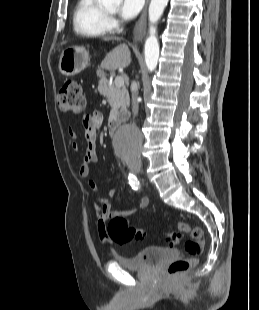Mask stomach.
I'll return each instance as SVG.
<instances>
[{"label":"stomach","mask_w":259,"mask_h":310,"mask_svg":"<svg viewBox=\"0 0 259 310\" xmlns=\"http://www.w3.org/2000/svg\"><path fill=\"white\" fill-rule=\"evenodd\" d=\"M89 65V53L84 47L71 46L64 49L59 59V71L65 76L80 73Z\"/></svg>","instance_id":"stomach-1"}]
</instances>
